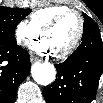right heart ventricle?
I'll return each mask as SVG.
<instances>
[{
  "label": "right heart ventricle",
  "mask_w": 103,
  "mask_h": 103,
  "mask_svg": "<svg viewBox=\"0 0 103 103\" xmlns=\"http://www.w3.org/2000/svg\"><path fill=\"white\" fill-rule=\"evenodd\" d=\"M71 9L67 5H51L38 9L30 15V23L39 31L59 14Z\"/></svg>",
  "instance_id": "e07e8e85"
}]
</instances>
